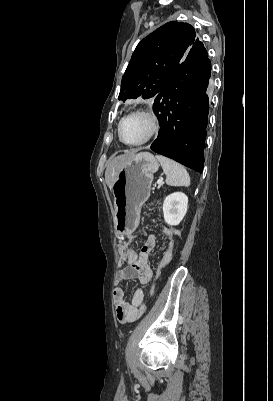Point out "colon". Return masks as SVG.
I'll list each match as a JSON object with an SVG mask.
<instances>
[{
  "mask_svg": "<svg viewBox=\"0 0 273 401\" xmlns=\"http://www.w3.org/2000/svg\"><path fill=\"white\" fill-rule=\"evenodd\" d=\"M138 279L140 282H149L151 279V276L149 273H140L138 276Z\"/></svg>",
  "mask_w": 273,
  "mask_h": 401,
  "instance_id": "obj_1",
  "label": "colon"
}]
</instances>
